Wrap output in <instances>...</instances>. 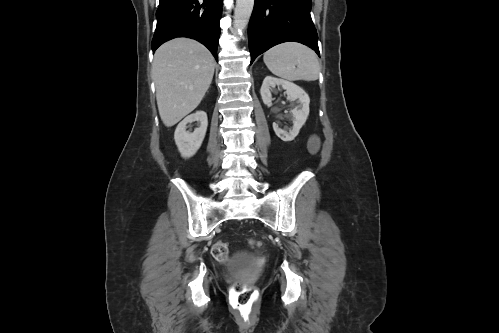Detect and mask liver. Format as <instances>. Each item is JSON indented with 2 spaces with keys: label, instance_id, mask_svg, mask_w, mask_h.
Segmentation results:
<instances>
[{
  "label": "liver",
  "instance_id": "6515ba94",
  "mask_svg": "<svg viewBox=\"0 0 499 333\" xmlns=\"http://www.w3.org/2000/svg\"><path fill=\"white\" fill-rule=\"evenodd\" d=\"M215 59L201 43L176 38L154 55L152 77L161 120L172 127L201 102L214 75Z\"/></svg>",
  "mask_w": 499,
  "mask_h": 333
}]
</instances>
